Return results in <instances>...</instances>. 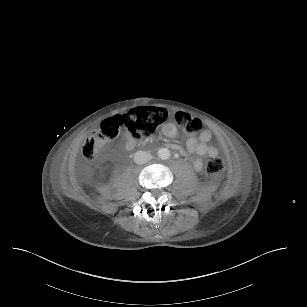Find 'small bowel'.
Here are the masks:
<instances>
[{
  "label": "small bowel",
  "instance_id": "1",
  "mask_svg": "<svg viewBox=\"0 0 307 307\" xmlns=\"http://www.w3.org/2000/svg\"><path fill=\"white\" fill-rule=\"evenodd\" d=\"M162 132L166 137L172 138V137L176 136L177 129L174 125L167 123V124L163 125ZM211 137H212V135H211L210 131L204 130L199 134L198 137L188 138V140L186 142L187 150L190 153H195V154L200 155V156L217 155L218 152H219L218 148L209 145ZM135 143H136L135 139L131 136H128L127 145L129 147H133L135 145ZM171 147L174 150L180 151L181 153L184 154L183 149L179 145L173 144ZM193 166L196 170H201L202 167H203V163L200 159H194L193 160Z\"/></svg>",
  "mask_w": 307,
  "mask_h": 307
}]
</instances>
